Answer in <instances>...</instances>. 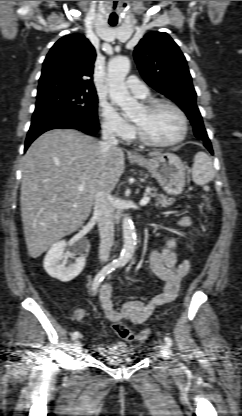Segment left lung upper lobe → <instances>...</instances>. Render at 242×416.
<instances>
[{"mask_svg":"<svg viewBox=\"0 0 242 416\" xmlns=\"http://www.w3.org/2000/svg\"><path fill=\"white\" fill-rule=\"evenodd\" d=\"M134 58L146 83L173 100L188 116L197 138L208 141L186 59L165 32H151L135 47Z\"/></svg>","mask_w":242,"mask_h":416,"instance_id":"left-lung-upper-lobe-1","label":"left lung upper lobe"}]
</instances>
